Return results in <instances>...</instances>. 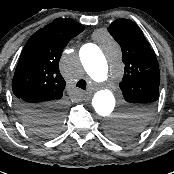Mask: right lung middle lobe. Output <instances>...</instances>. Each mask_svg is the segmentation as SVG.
<instances>
[{
  "label": "right lung middle lobe",
  "mask_w": 174,
  "mask_h": 174,
  "mask_svg": "<svg viewBox=\"0 0 174 174\" xmlns=\"http://www.w3.org/2000/svg\"><path fill=\"white\" fill-rule=\"evenodd\" d=\"M61 120L62 115L60 114V112H54L53 115L49 117V121L45 120L32 124L27 123V126L30 131L37 135L51 136L59 130V124Z\"/></svg>",
  "instance_id": "obj_1"
}]
</instances>
